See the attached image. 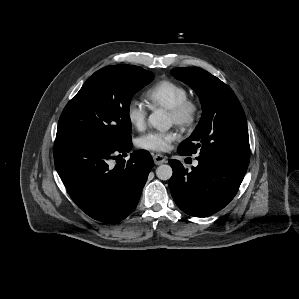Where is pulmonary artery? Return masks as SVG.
Here are the masks:
<instances>
[{"instance_id":"obj_1","label":"pulmonary artery","mask_w":299,"mask_h":299,"mask_svg":"<svg viewBox=\"0 0 299 299\" xmlns=\"http://www.w3.org/2000/svg\"><path fill=\"white\" fill-rule=\"evenodd\" d=\"M197 165H198V161H195V162H194V166H197Z\"/></svg>"}]
</instances>
